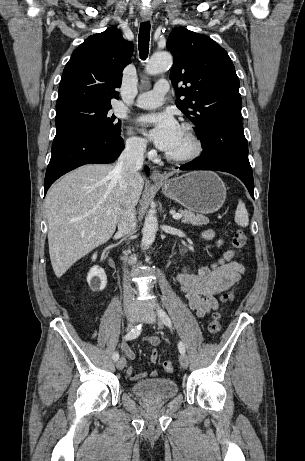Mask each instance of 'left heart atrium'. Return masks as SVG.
<instances>
[{"label":"left heart atrium","mask_w":305,"mask_h":461,"mask_svg":"<svg viewBox=\"0 0 305 461\" xmlns=\"http://www.w3.org/2000/svg\"><path fill=\"white\" fill-rule=\"evenodd\" d=\"M148 138L161 150L168 151L175 144L180 126L171 113H157L139 119Z\"/></svg>","instance_id":"obj_1"}]
</instances>
